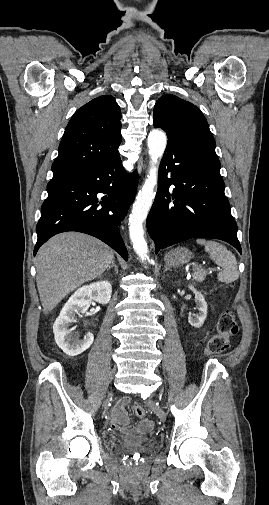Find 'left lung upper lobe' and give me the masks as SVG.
<instances>
[{
  "instance_id": "obj_1",
  "label": "left lung upper lobe",
  "mask_w": 269,
  "mask_h": 505,
  "mask_svg": "<svg viewBox=\"0 0 269 505\" xmlns=\"http://www.w3.org/2000/svg\"><path fill=\"white\" fill-rule=\"evenodd\" d=\"M153 123L166 132L181 133L215 147V140L202 112L177 96L166 94L158 99L154 107Z\"/></svg>"
}]
</instances>
